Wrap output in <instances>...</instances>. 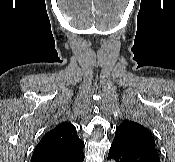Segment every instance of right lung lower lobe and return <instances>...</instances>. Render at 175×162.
Here are the masks:
<instances>
[{
  "instance_id": "right-lung-lower-lobe-1",
  "label": "right lung lower lobe",
  "mask_w": 175,
  "mask_h": 162,
  "mask_svg": "<svg viewBox=\"0 0 175 162\" xmlns=\"http://www.w3.org/2000/svg\"><path fill=\"white\" fill-rule=\"evenodd\" d=\"M84 161V153L81 152L77 155L67 156V155H57L47 157L39 162H83Z\"/></svg>"
}]
</instances>
